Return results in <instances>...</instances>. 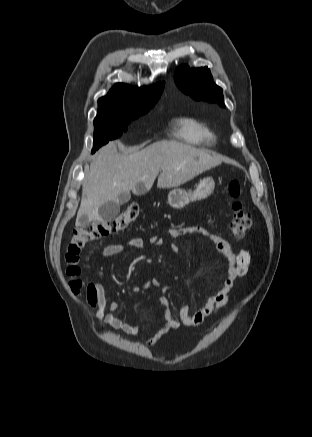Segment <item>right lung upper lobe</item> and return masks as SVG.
Here are the masks:
<instances>
[{
    "mask_svg": "<svg viewBox=\"0 0 312 437\" xmlns=\"http://www.w3.org/2000/svg\"><path fill=\"white\" fill-rule=\"evenodd\" d=\"M164 83L151 88H136L130 85L116 84L109 93L98 100L97 115H116L133 117L142 115L160 98Z\"/></svg>",
    "mask_w": 312,
    "mask_h": 437,
    "instance_id": "1",
    "label": "right lung upper lobe"
}]
</instances>
